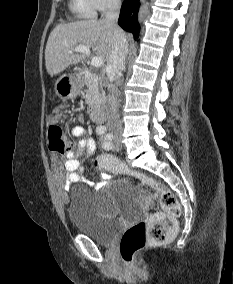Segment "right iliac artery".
Wrapping results in <instances>:
<instances>
[{"mask_svg": "<svg viewBox=\"0 0 233 284\" xmlns=\"http://www.w3.org/2000/svg\"><path fill=\"white\" fill-rule=\"evenodd\" d=\"M96 132H97V134L102 135L106 132V127L99 126V127L96 128Z\"/></svg>", "mask_w": 233, "mask_h": 284, "instance_id": "1", "label": "right iliac artery"}]
</instances>
